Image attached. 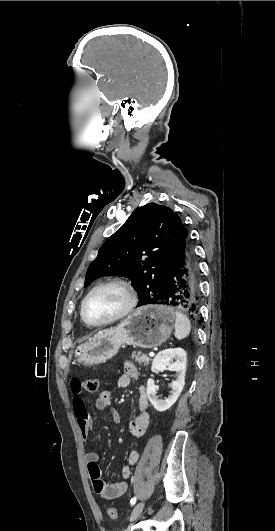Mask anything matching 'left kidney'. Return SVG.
<instances>
[{"label":"left kidney","mask_w":275,"mask_h":531,"mask_svg":"<svg viewBox=\"0 0 275 531\" xmlns=\"http://www.w3.org/2000/svg\"><path fill=\"white\" fill-rule=\"evenodd\" d=\"M173 359H175V363H170ZM186 361L187 359L184 349H164V351H160L155 359H153L151 367L152 373L164 371L166 367H168L170 371H176V381L170 383L172 393L169 395L168 399H164V401L157 399V387H155L153 379H148L147 397L156 411H160V413H162V411H167V409H170V407L176 403L178 397H180V393H182V389L185 385Z\"/></svg>","instance_id":"left-kidney-1"}]
</instances>
